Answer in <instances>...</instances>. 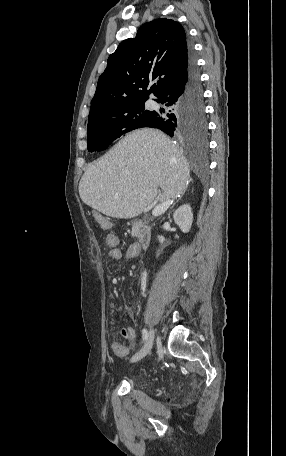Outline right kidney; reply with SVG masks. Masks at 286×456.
<instances>
[{
	"mask_svg": "<svg viewBox=\"0 0 286 456\" xmlns=\"http://www.w3.org/2000/svg\"><path fill=\"white\" fill-rule=\"evenodd\" d=\"M173 218L183 233H188L190 231L193 222V213L189 204L180 206L174 212ZM158 240L163 244L165 238L163 236H158Z\"/></svg>",
	"mask_w": 286,
	"mask_h": 456,
	"instance_id": "1",
	"label": "right kidney"
}]
</instances>
